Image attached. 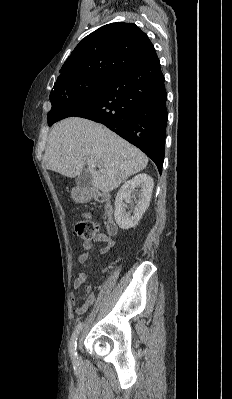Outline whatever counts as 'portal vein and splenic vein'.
<instances>
[{"label":"portal vein and splenic vein","instance_id":"18ae733b","mask_svg":"<svg viewBox=\"0 0 232 399\" xmlns=\"http://www.w3.org/2000/svg\"><path fill=\"white\" fill-rule=\"evenodd\" d=\"M87 164H88V166H92V168H95L94 162H91V160H87ZM100 172H101V170H100Z\"/></svg>","mask_w":232,"mask_h":399}]
</instances>
